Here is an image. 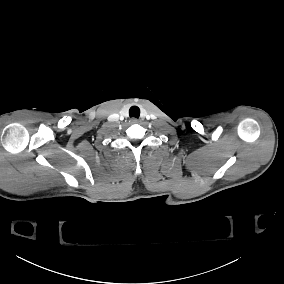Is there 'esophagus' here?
Wrapping results in <instances>:
<instances>
[{
  "label": "esophagus",
  "mask_w": 284,
  "mask_h": 284,
  "mask_svg": "<svg viewBox=\"0 0 284 284\" xmlns=\"http://www.w3.org/2000/svg\"><path fill=\"white\" fill-rule=\"evenodd\" d=\"M131 122L132 123H138V119L137 118H131Z\"/></svg>",
  "instance_id": "esophagus-1"
}]
</instances>
